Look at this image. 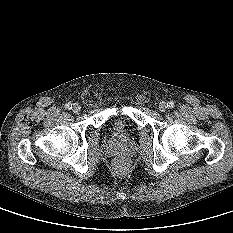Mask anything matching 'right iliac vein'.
<instances>
[{
  "mask_svg": "<svg viewBox=\"0 0 233 233\" xmlns=\"http://www.w3.org/2000/svg\"><path fill=\"white\" fill-rule=\"evenodd\" d=\"M72 111L74 113H79L81 111V106L77 103L73 104Z\"/></svg>",
  "mask_w": 233,
  "mask_h": 233,
  "instance_id": "right-iliac-vein-1",
  "label": "right iliac vein"
}]
</instances>
